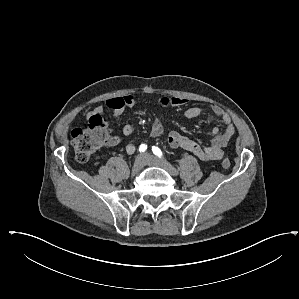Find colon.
Masks as SVG:
<instances>
[{
	"instance_id": "1",
	"label": "colon",
	"mask_w": 299,
	"mask_h": 299,
	"mask_svg": "<svg viewBox=\"0 0 299 299\" xmlns=\"http://www.w3.org/2000/svg\"><path fill=\"white\" fill-rule=\"evenodd\" d=\"M111 139L106 120L100 115L91 116L85 128L74 129L71 133L74 159L79 163L87 162L99 147L109 143ZM221 164L224 168H229L231 161L224 158Z\"/></svg>"
}]
</instances>
